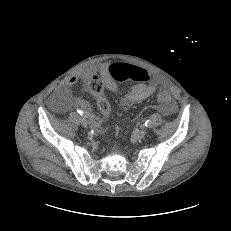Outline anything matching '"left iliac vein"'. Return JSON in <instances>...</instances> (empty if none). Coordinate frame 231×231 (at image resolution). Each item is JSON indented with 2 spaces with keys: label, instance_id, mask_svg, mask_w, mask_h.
Here are the masks:
<instances>
[{
  "label": "left iliac vein",
  "instance_id": "4c4485c4",
  "mask_svg": "<svg viewBox=\"0 0 231 231\" xmlns=\"http://www.w3.org/2000/svg\"><path fill=\"white\" fill-rule=\"evenodd\" d=\"M146 135V129H141L135 132V137L142 139Z\"/></svg>",
  "mask_w": 231,
  "mask_h": 231
}]
</instances>
